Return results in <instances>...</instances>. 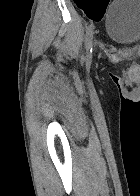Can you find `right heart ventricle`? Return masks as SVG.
<instances>
[{"mask_svg": "<svg viewBox=\"0 0 140 196\" xmlns=\"http://www.w3.org/2000/svg\"><path fill=\"white\" fill-rule=\"evenodd\" d=\"M89 192H107V191H89Z\"/></svg>", "mask_w": 140, "mask_h": 196, "instance_id": "right-heart-ventricle-1", "label": "right heart ventricle"}]
</instances>
